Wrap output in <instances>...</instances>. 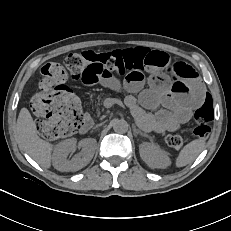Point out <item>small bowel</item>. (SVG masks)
Instances as JSON below:
<instances>
[{"label": "small bowel", "mask_w": 231, "mask_h": 231, "mask_svg": "<svg viewBox=\"0 0 231 231\" xmlns=\"http://www.w3.org/2000/svg\"><path fill=\"white\" fill-rule=\"evenodd\" d=\"M150 51L157 57L165 55L160 51ZM177 64L186 76V92L174 88L173 83H170L162 72L165 68L158 59L153 60L152 64L142 71L127 73L122 82L113 70L95 64L87 67L80 79L88 86L100 84L112 90L131 93L126 97L125 103L146 130L175 131L190 120L192 110L199 106L205 97L204 85L196 71L185 63ZM144 71L148 73L147 78ZM146 83L149 88L143 89ZM134 93H139L138 97H135ZM155 109H158L156 113L150 112Z\"/></svg>", "instance_id": "obj_1"}]
</instances>
